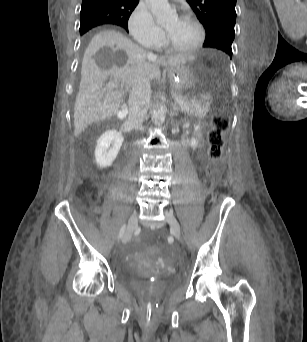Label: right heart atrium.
I'll use <instances>...</instances> for the list:
<instances>
[{"label": "right heart atrium", "instance_id": "right-heart-atrium-1", "mask_svg": "<svg viewBox=\"0 0 307 342\" xmlns=\"http://www.w3.org/2000/svg\"><path fill=\"white\" fill-rule=\"evenodd\" d=\"M128 30L132 39L141 46L158 47L162 44L163 34L146 8L138 7L132 12Z\"/></svg>", "mask_w": 307, "mask_h": 342}]
</instances>
